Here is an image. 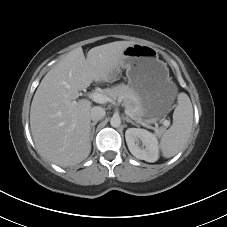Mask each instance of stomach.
I'll use <instances>...</instances> for the list:
<instances>
[{
	"label": "stomach",
	"mask_w": 227,
	"mask_h": 227,
	"mask_svg": "<svg viewBox=\"0 0 227 227\" xmlns=\"http://www.w3.org/2000/svg\"><path fill=\"white\" fill-rule=\"evenodd\" d=\"M120 68L126 69L130 88L141 105V118L155 122L169 111L177 94V86L169 75L167 64L159 59L158 50L149 45L134 43L123 52V61L114 71L111 81L117 78Z\"/></svg>",
	"instance_id": "obj_1"
}]
</instances>
